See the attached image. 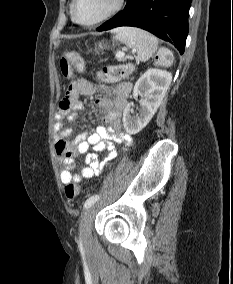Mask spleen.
Returning a JSON list of instances; mask_svg holds the SVG:
<instances>
[{"label":"spleen","instance_id":"1","mask_svg":"<svg viewBox=\"0 0 233 284\" xmlns=\"http://www.w3.org/2000/svg\"><path fill=\"white\" fill-rule=\"evenodd\" d=\"M115 39L124 43L128 48L136 51L139 61H147L158 50V40L147 31L134 27H120L115 30ZM160 64H167L173 61V53L167 48L158 50Z\"/></svg>","mask_w":233,"mask_h":284}]
</instances>
